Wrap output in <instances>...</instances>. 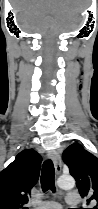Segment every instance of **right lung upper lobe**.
Wrapping results in <instances>:
<instances>
[{"label": "right lung upper lobe", "instance_id": "right-lung-upper-lobe-1", "mask_svg": "<svg viewBox=\"0 0 98 209\" xmlns=\"http://www.w3.org/2000/svg\"><path fill=\"white\" fill-rule=\"evenodd\" d=\"M41 162L36 151L23 150L0 172V209H28L24 205L38 181Z\"/></svg>", "mask_w": 98, "mask_h": 209}]
</instances>
